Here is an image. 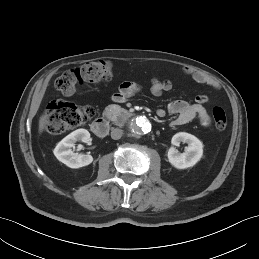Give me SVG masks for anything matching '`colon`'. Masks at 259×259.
Masks as SVG:
<instances>
[{
    "label": "colon",
    "mask_w": 259,
    "mask_h": 259,
    "mask_svg": "<svg viewBox=\"0 0 259 259\" xmlns=\"http://www.w3.org/2000/svg\"><path fill=\"white\" fill-rule=\"evenodd\" d=\"M112 76L109 61L97 60L63 73L56 81L57 90L63 95H72L78 86L84 83L107 81ZM96 114L92 106H77L61 100L51 101L46 109V130L53 135L84 124ZM211 116L217 130H224L227 125L225 110L221 106H213Z\"/></svg>",
    "instance_id": "colon-1"
}]
</instances>
